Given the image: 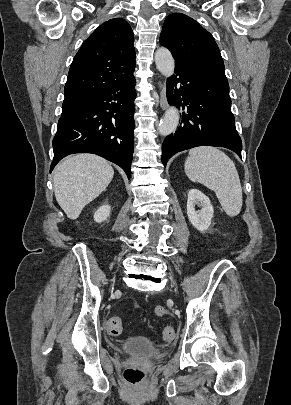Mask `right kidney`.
<instances>
[{"mask_svg": "<svg viewBox=\"0 0 291 405\" xmlns=\"http://www.w3.org/2000/svg\"><path fill=\"white\" fill-rule=\"evenodd\" d=\"M111 208L108 204H104L98 208V210L94 213V220L98 223H101L110 215Z\"/></svg>", "mask_w": 291, "mask_h": 405, "instance_id": "obj_1", "label": "right kidney"}]
</instances>
